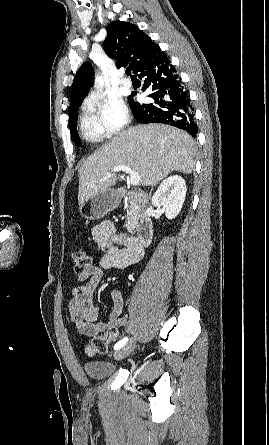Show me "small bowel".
Here are the masks:
<instances>
[{"instance_id":"1","label":"small bowel","mask_w":269,"mask_h":445,"mask_svg":"<svg viewBox=\"0 0 269 445\" xmlns=\"http://www.w3.org/2000/svg\"><path fill=\"white\" fill-rule=\"evenodd\" d=\"M91 232L94 241L102 248V254L97 264L90 265L78 274L77 280L80 284L71 290L69 315L79 333L83 335L91 337L115 331L118 336V328L127 321V315H122L123 302L120 292L110 291L112 309L105 321H97L98 308L93 302L94 292L105 272L126 269L141 260L144 251L136 245L133 238L117 233L110 221L95 225Z\"/></svg>"}]
</instances>
